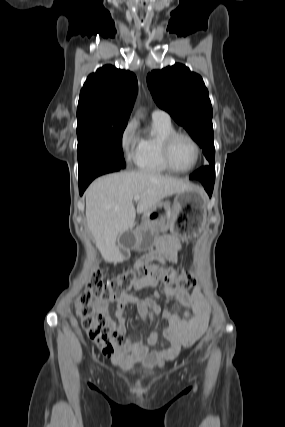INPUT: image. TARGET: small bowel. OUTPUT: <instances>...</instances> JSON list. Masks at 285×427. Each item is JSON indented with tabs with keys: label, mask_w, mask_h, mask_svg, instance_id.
I'll return each instance as SVG.
<instances>
[{
	"label": "small bowel",
	"mask_w": 285,
	"mask_h": 427,
	"mask_svg": "<svg viewBox=\"0 0 285 427\" xmlns=\"http://www.w3.org/2000/svg\"><path fill=\"white\" fill-rule=\"evenodd\" d=\"M155 245V250L149 252L135 264L137 277L133 283L134 289L139 291L146 287L154 288L156 298L165 295L175 299L179 305L178 309H191L193 318L185 323H181L177 313L163 311L155 299H141L130 293H123L114 299V315H112L108 303L96 301V311L121 338L127 332V313L125 312V307L129 304L135 305L140 318L145 322H150L153 326L151 332L144 339L140 341L127 339L115 345L111 352H104L116 364L127 369L132 368L136 364L149 369L163 366L165 362L173 360L182 348L193 345L203 335L207 326L209 304L200 286H197L189 294L185 289L175 284H170L160 289L155 279L152 277H142V272L140 271L141 263L154 260L163 261L164 258L172 262H177L179 254L182 251L180 239L174 234L159 236ZM159 317L166 323L162 333V340L159 335ZM160 342L165 347L161 350L152 351L151 348Z\"/></svg>",
	"instance_id": "c3829d8e"
}]
</instances>
